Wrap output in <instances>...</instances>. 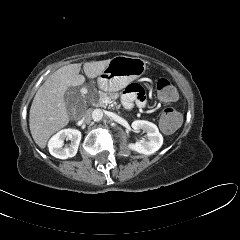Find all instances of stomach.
I'll list each match as a JSON object with an SVG mask.
<instances>
[{
    "label": "stomach",
    "mask_w": 240,
    "mask_h": 240,
    "mask_svg": "<svg viewBox=\"0 0 240 240\" xmlns=\"http://www.w3.org/2000/svg\"><path fill=\"white\" fill-rule=\"evenodd\" d=\"M146 62L139 57L116 56L98 77L100 89L119 91L144 74Z\"/></svg>",
    "instance_id": "obj_1"
}]
</instances>
